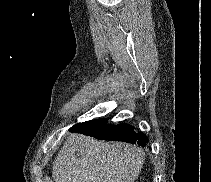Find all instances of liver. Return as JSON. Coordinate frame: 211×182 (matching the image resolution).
<instances>
[{
    "mask_svg": "<svg viewBox=\"0 0 211 182\" xmlns=\"http://www.w3.org/2000/svg\"><path fill=\"white\" fill-rule=\"evenodd\" d=\"M145 154L137 146L71 134L52 166L55 182H134Z\"/></svg>",
    "mask_w": 211,
    "mask_h": 182,
    "instance_id": "1",
    "label": "liver"
}]
</instances>
